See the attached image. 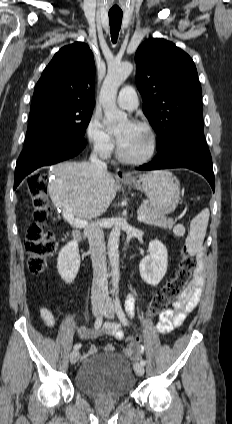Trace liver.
Masks as SVG:
<instances>
[{"label":"liver","mask_w":232,"mask_h":424,"mask_svg":"<svg viewBox=\"0 0 232 424\" xmlns=\"http://www.w3.org/2000/svg\"><path fill=\"white\" fill-rule=\"evenodd\" d=\"M54 176L48 185L53 204L72 208V214L83 220L101 216L116 196L113 176L99 173L89 162H62L51 170Z\"/></svg>","instance_id":"liver-1"}]
</instances>
